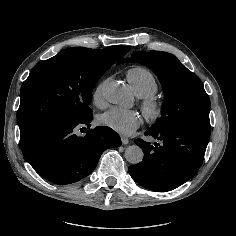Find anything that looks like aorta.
Instances as JSON below:
<instances>
[{"label": "aorta", "instance_id": "obj_1", "mask_svg": "<svg viewBox=\"0 0 236 236\" xmlns=\"http://www.w3.org/2000/svg\"><path fill=\"white\" fill-rule=\"evenodd\" d=\"M104 96L110 103H123L127 100L125 88L117 83L110 82L104 88ZM144 153L137 145H131L125 150V158L131 164H138L142 161Z\"/></svg>", "mask_w": 236, "mask_h": 236}]
</instances>
